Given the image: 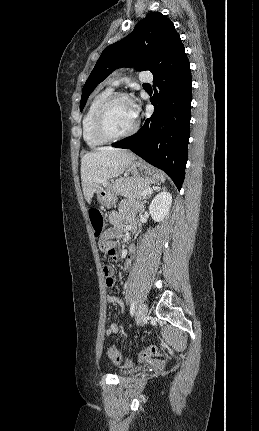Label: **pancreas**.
Masks as SVG:
<instances>
[{"mask_svg":"<svg viewBox=\"0 0 259 431\" xmlns=\"http://www.w3.org/2000/svg\"><path fill=\"white\" fill-rule=\"evenodd\" d=\"M148 188L149 185L133 177L119 178L113 184L116 195L137 200H143L148 196V194H142Z\"/></svg>","mask_w":259,"mask_h":431,"instance_id":"1","label":"pancreas"}]
</instances>
